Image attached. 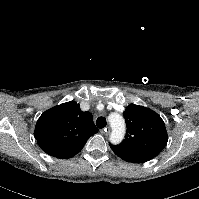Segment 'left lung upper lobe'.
I'll use <instances>...</instances> for the list:
<instances>
[{"label":"left lung upper lobe","mask_w":199,"mask_h":199,"mask_svg":"<svg viewBox=\"0 0 199 199\" xmlns=\"http://www.w3.org/2000/svg\"><path fill=\"white\" fill-rule=\"evenodd\" d=\"M127 133L119 145H111L121 159L143 163L157 156L166 146L168 135L162 118L151 109L130 104L124 111Z\"/></svg>","instance_id":"obj_1"}]
</instances>
